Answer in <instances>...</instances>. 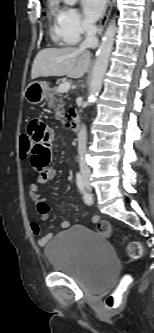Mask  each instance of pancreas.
Returning a JSON list of instances; mask_svg holds the SVG:
<instances>
[{
	"instance_id": "obj_1",
	"label": "pancreas",
	"mask_w": 154,
	"mask_h": 333,
	"mask_svg": "<svg viewBox=\"0 0 154 333\" xmlns=\"http://www.w3.org/2000/svg\"><path fill=\"white\" fill-rule=\"evenodd\" d=\"M48 106L49 108H53L56 111V117L59 118L61 116V109L63 107V100L60 96L61 93L57 91L56 88H53L48 91ZM56 96H59L60 98H57ZM56 103H58L56 105Z\"/></svg>"
}]
</instances>
